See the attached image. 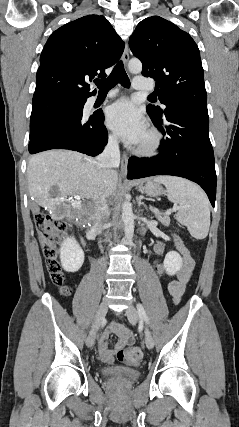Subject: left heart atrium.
<instances>
[{"label": "left heart atrium", "instance_id": "1", "mask_svg": "<svg viewBox=\"0 0 239 427\" xmlns=\"http://www.w3.org/2000/svg\"><path fill=\"white\" fill-rule=\"evenodd\" d=\"M108 127L130 144H137L146 132L141 111L128 99H120L107 112Z\"/></svg>", "mask_w": 239, "mask_h": 427}]
</instances>
